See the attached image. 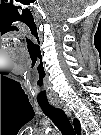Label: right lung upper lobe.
I'll use <instances>...</instances> for the list:
<instances>
[{"label": "right lung upper lobe", "mask_w": 101, "mask_h": 135, "mask_svg": "<svg viewBox=\"0 0 101 135\" xmlns=\"http://www.w3.org/2000/svg\"><path fill=\"white\" fill-rule=\"evenodd\" d=\"M74 127H75L76 132L80 133L81 126H80V122L77 119L74 120Z\"/></svg>", "instance_id": "1"}]
</instances>
